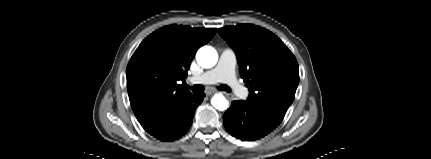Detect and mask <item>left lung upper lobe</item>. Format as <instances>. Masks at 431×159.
<instances>
[{
  "instance_id": "1",
  "label": "left lung upper lobe",
  "mask_w": 431,
  "mask_h": 159,
  "mask_svg": "<svg viewBox=\"0 0 431 159\" xmlns=\"http://www.w3.org/2000/svg\"><path fill=\"white\" fill-rule=\"evenodd\" d=\"M218 33L236 52L241 78L249 87L246 102L284 116L299 84V67L292 52L259 26H226Z\"/></svg>"
}]
</instances>
